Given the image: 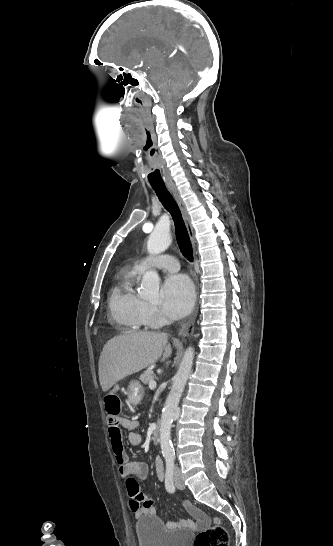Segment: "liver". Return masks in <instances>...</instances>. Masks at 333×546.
Masks as SVG:
<instances>
[{"label": "liver", "mask_w": 333, "mask_h": 546, "mask_svg": "<svg viewBox=\"0 0 333 546\" xmlns=\"http://www.w3.org/2000/svg\"><path fill=\"white\" fill-rule=\"evenodd\" d=\"M172 354L167 335L156 332H137L109 340L99 359V381L106 392L119 380L147 368L162 357Z\"/></svg>", "instance_id": "obj_1"}]
</instances>
